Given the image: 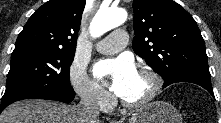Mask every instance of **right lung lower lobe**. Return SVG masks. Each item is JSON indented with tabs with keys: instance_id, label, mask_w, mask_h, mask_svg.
Segmentation results:
<instances>
[{
	"instance_id": "1",
	"label": "right lung lower lobe",
	"mask_w": 221,
	"mask_h": 123,
	"mask_svg": "<svg viewBox=\"0 0 221 123\" xmlns=\"http://www.w3.org/2000/svg\"><path fill=\"white\" fill-rule=\"evenodd\" d=\"M75 96V92L72 87L54 86L40 93H32L28 90H18L5 94L2 98L0 113L9 104L23 100V99H45V100H57L65 103H70Z\"/></svg>"
}]
</instances>
